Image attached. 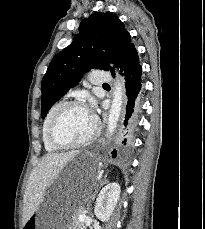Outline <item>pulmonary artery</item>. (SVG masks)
Returning <instances> with one entry per match:
<instances>
[{
    "label": "pulmonary artery",
    "instance_id": "1",
    "mask_svg": "<svg viewBox=\"0 0 205 229\" xmlns=\"http://www.w3.org/2000/svg\"><path fill=\"white\" fill-rule=\"evenodd\" d=\"M90 81L95 85L108 84L112 81V76L104 70H93L90 73Z\"/></svg>",
    "mask_w": 205,
    "mask_h": 229
}]
</instances>
